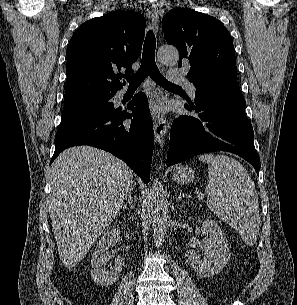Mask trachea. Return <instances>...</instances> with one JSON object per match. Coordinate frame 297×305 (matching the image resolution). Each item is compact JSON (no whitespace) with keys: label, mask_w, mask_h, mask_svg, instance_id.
Segmentation results:
<instances>
[{"label":"trachea","mask_w":297,"mask_h":305,"mask_svg":"<svg viewBox=\"0 0 297 305\" xmlns=\"http://www.w3.org/2000/svg\"><path fill=\"white\" fill-rule=\"evenodd\" d=\"M156 39L150 30L145 39L142 63L139 70L133 75H125L124 78L129 82V86H138L144 79L150 76L157 84L162 87H179L167 81L160 73L155 62Z\"/></svg>","instance_id":"obj_1"}]
</instances>
